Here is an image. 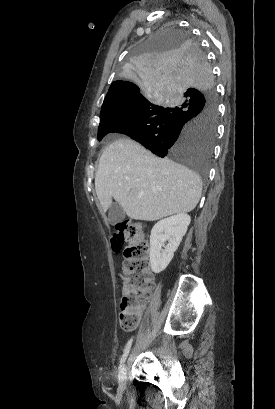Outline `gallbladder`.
Returning <instances> with one entry per match:
<instances>
[{
    "label": "gallbladder",
    "mask_w": 275,
    "mask_h": 409,
    "mask_svg": "<svg viewBox=\"0 0 275 409\" xmlns=\"http://www.w3.org/2000/svg\"><path fill=\"white\" fill-rule=\"evenodd\" d=\"M123 219H125V213L118 205V202H112L111 207H109L108 213V221L110 225H117V223H122Z\"/></svg>",
    "instance_id": "bac80fb5"
}]
</instances>
